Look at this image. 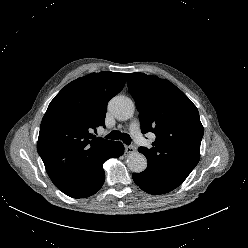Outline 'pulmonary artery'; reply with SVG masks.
<instances>
[{"label":"pulmonary artery","instance_id":"obj_1","mask_svg":"<svg viewBox=\"0 0 248 248\" xmlns=\"http://www.w3.org/2000/svg\"><path fill=\"white\" fill-rule=\"evenodd\" d=\"M130 131L137 144L143 145L145 143V138L143 137L137 122L130 125Z\"/></svg>","mask_w":248,"mask_h":248}]
</instances>
